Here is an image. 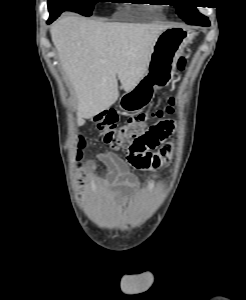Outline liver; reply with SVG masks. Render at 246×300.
Masks as SVG:
<instances>
[{"instance_id":"6515ba94","label":"liver","mask_w":246,"mask_h":300,"mask_svg":"<svg viewBox=\"0 0 246 300\" xmlns=\"http://www.w3.org/2000/svg\"><path fill=\"white\" fill-rule=\"evenodd\" d=\"M170 26L100 22L67 16L51 27L60 63L77 96L81 126L113 105L122 88L132 90L145 75L154 43Z\"/></svg>"}]
</instances>
